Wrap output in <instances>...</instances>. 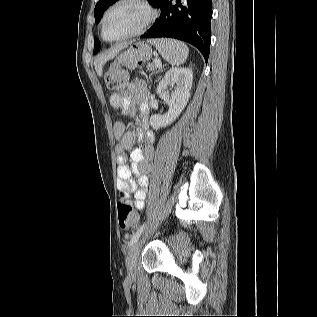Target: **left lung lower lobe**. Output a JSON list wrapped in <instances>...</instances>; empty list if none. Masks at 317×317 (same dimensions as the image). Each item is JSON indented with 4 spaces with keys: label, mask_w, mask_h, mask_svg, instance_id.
<instances>
[{
    "label": "left lung lower lobe",
    "mask_w": 317,
    "mask_h": 317,
    "mask_svg": "<svg viewBox=\"0 0 317 317\" xmlns=\"http://www.w3.org/2000/svg\"><path fill=\"white\" fill-rule=\"evenodd\" d=\"M161 15L141 38L170 37L194 45L208 61L212 0H163Z\"/></svg>",
    "instance_id": "0a47b994"
}]
</instances>
